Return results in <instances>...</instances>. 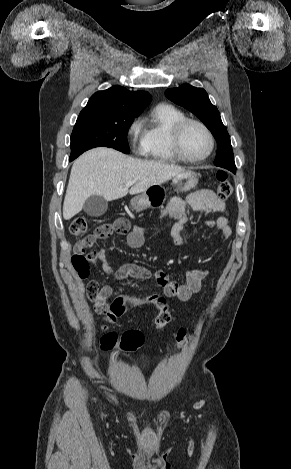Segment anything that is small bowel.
I'll use <instances>...</instances> for the list:
<instances>
[{"mask_svg": "<svg viewBox=\"0 0 291 469\" xmlns=\"http://www.w3.org/2000/svg\"><path fill=\"white\" fill-rule=\"evenodd\" d=\"M187 207L208 216L204 222L205 227L217 228L225 239L231 236L232 231L229 224V216L226 213L225 203L216 198L210 190H198L189 194L186 199L179 197L172 198L168 206L162 211L163 216L176 219V222L171 228V236L175 245H186L191 241L190 237L183 235L184 227L189 221ZM214 213H220V216L214 218L212 217ZM101 226L106 230L103 238L116 232L121 235H126L127 244L132 249H139L144 244L143 228L138 225L132 227L130 222L125 218H118L113 223H107ZM88 257L93 260L94 263H99L102 271L115 280H123L126 278L148 279L153 276L157 285L163 289L164 293H167L170 298H176L182 302L189 301L194 294L201 290L202 282L209 273L208 269H194L186 272L185 282L178 283L169 281L167 274L163 271L152 273L147 268L133 263L123 264L117 270H114L109 265L107 261V251L103 248L89 253ZM111 295L112 289L110 286L99 287L98 293L93 299L96 312L105 313L110 308L108 299ZM127 300L130 302L128 307H132L138 306L140 301H148L150 299L147 294H134L128 295Z\"/></svg>", "mask_w": 291, "mask_h": 469, "instance_id": "c3829d8e", "label": "small bowel"}]
</instances>
